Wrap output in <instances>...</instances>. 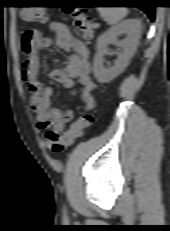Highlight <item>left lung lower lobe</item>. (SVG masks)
Masks as SVG:
<instances>
[{
  "instance_id": "left-lung-lower-lobe-1",
  "label": "left lung lower lobe",
  "mask_w": 170,
  "mask_h": 231,
  "mask_svg": "<svg viewBox=\"0 0 170 231\" xmlns=\"http://www.w3.org/2000/svg\"><path fill=\"white\" fill-rule=\"evenodd\" d=\"M131 3L136 4L135 7L143 10L148 15L151 21L155 20V6L153 5L152 0H132Z\"/></svg>"
}]
</instances>
